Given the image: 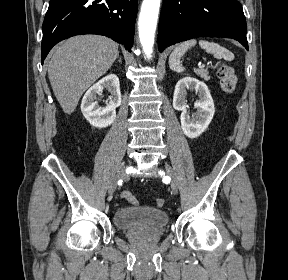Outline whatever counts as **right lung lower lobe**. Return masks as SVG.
<instances>
[{"label":"right lung lower lobe","mask_w":288,"mask_h":280,"mask_svg":"<svg viewBox=\"0 0 288 280\" xmlns=\"http://www.w3.org/2000/svg\"><path fill=\"white\" fill-rule=\"evenodd\" d=\"M138 0H50L43 22L41 63L51 48L79 34L105 35L133 45Z\"/></svg>","instance_id":"right-lung-lower-lobe-1"}]
</instances>
